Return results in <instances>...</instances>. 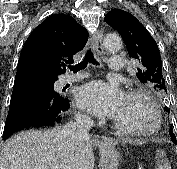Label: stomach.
<instances>
[{
  "mask_svg": "<svg viewBox=\"0 0 177 169\" xmlns=\"http://www.w3.org/2000/svg\"><path fill=\"white\" fill-rule=\"evenodd\" d=\"M101 169H118L120 163V153L115 145L106 144L100 149Z\"/></svg>",
  "mask_w": 177,
  "mask_h": 169,
  "instance_id": "0dacf381",
  "label": "stomach"
}]
</instances>
